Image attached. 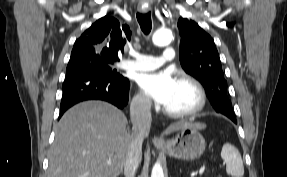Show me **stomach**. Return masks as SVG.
Masks as SVG:
<instances>
[{
    "label": "stomach",
    "mask_w": 287,
    "mask_h": 177,
    "mask_svg": "<svg viewBox=\"0 0 287 177\" xmlns=\"http://www.w3.org/2000/svg\"><path fill=\"white\" fill-rule=\"evenodd\" d=\"M205 147V139L198 129L188 126L179 130L173 138L167 141L165 146L158 148L176 159L193 161L203 154Z\"/></svg>",
    "instance_id": "obj_1"
}]
</instances>
